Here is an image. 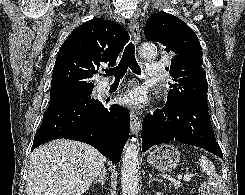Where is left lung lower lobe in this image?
Returning a JSON list of instances; mask_svg holds the SVG:
<instances>
[{"instance_id":"0a47b994","label":"left lung lower lobe","mask_w":245,"mask_h":195,"mask_svg":"<svg viewBox=\"0 0 245 195\" xmlns=\"http://www.w3.org/2000/svg\"><path fill=\"white\" fill-rule=\"evenodd\" d=\"M172 140L201 147L223 158L205 104L196 101L177 104L166 102L162 110L145 117L142 123L143 152L153 145Z\"/></svg>"}]
</instances>
